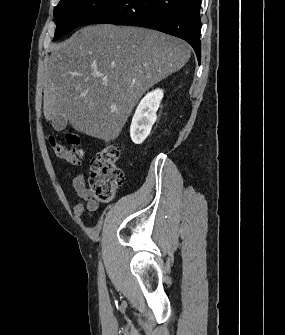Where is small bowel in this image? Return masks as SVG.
<instances>
[{
  "label": "small bowel",
  "mask_w": 285,
  "mask_h": 335,
  "mask_svg": "<svg viewBox=\"0 0 285 335\" xmlns=\"http://www.w3.org/2000/svg\"><path fill=\"white\" fill-rule=\"evenodd\" d=\"M72 187L77 195L85 200V204H77L74 207V215L80 218L85 211L93 212L97 210L99 203L93 199L91 191L87 188L84 177L77 175L72 181Z\"/></svg>",
  "instance_id": "obj_1"
}]
</instances>
